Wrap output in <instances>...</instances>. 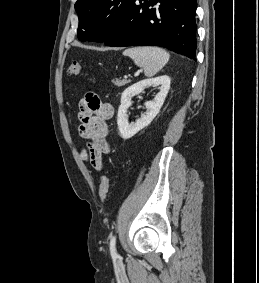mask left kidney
Masks as SVG:
<instances>
[{
    "label": "left kidney",
    "mask_w": 259,
    "mask_h": 283,
    "mask_svg": "<svg viewBox=\"0 0 259 283\" xmlns=\"http://www.w3.org/2000/svg\"><path fill=\"white\" fill-rule=\"evenodd\" d=\"M170 82V77L163 75L153 79L139 81L125 89L121 96V105L119 106L117 115L118 129L120 136L123 139H129L133 137L136 133H138L140 130H142L152 122V120L159 113L164 103V100L170 89ZM152 86H159L160 91L154 97L153 101H147L145 103L147 110L141 116V118L138 119L135 123H129L127 110L131 106L132 98L135 95L141 93L145 88Z\"/></svg>",
    "instance_id": "1"
}]
</instances>
